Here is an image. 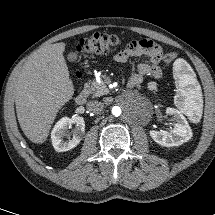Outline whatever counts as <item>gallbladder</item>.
Instances as JSON below:
<instances>
[{"mask_svg": "<svg viewBox=\"0 0 215 215\" xmlns=\"http://www.w3.org/2000/svg\"><path fill=\"white\" fill-rule=\"evenodd\" d=\"M67 59L69 60V61H75L76 59H77V54L76 53H73V52H71V53H69L68 55H67Z\"/></svg>", "mask_w": 215, "mask_h": 215, "instance_id": "gallbladder-1", "label": "gallbladder"}]
</instances>
